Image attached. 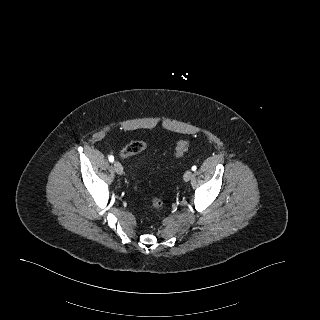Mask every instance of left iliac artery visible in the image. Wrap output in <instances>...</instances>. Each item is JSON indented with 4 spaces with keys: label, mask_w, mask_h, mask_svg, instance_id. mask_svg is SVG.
<instances>
[{
    "label": "left iliac artery",
    "mask_w": 320,
    "mask_h": 320,
    "mask_svg": "<svg viewBox=\"0 0 320 320\" xmlns=\"http://www.w3.org/2000/svg\"><path fill=\"white\" fill-rule=\"evenodd\" d=\"M196 169H197V167H196V166H193V167H192V170H193V171H195Z\"/></svg>",
    "instance_id": "1"
}]
</instances>
